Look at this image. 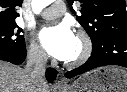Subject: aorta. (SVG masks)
<instances>
[{
	"instance_id": "aorta-1",
	"label": "aorta",
	"mask_w": 127,
	"mask_h": 92,
	"mask_svg": "<svg viewBox=\"0 0 127 92\" xmlns=\"http://www.w3.org/2000/svg\"><path fill=\"white\" fill-rule=\"evenodd\" d=\"M53 0H32V9L34 13H40L46 6L51 4Z\"/></svg>"
}]
</instances>
